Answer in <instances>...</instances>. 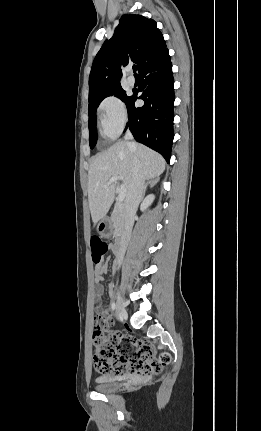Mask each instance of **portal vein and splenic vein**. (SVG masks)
<instances>
[{
  "instance_id": "1",
  "label": "portal vein and splenic vein",
  "mask_w": 261,
  "mask_h": 431,
  "mask_svg": "<svg viewBox=\"0 0 261 431\" xmlns=\"http://www.w3.org/2000/svg\"><path fill=\"white\" fill-rule=\"evenodd\" d=\"M121 179H122L121 176H113V177H111V179L109 180V182L106 185H104V187L106 188L109 185H111L112 183H115V182H117L118 180H121ZM125 196H126V188L123 185H121L118 188V203H121L124 200Z\"/></svg>"
}]
</instances>
